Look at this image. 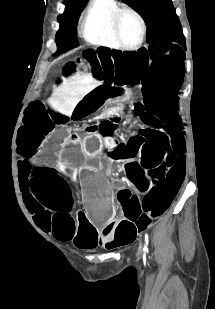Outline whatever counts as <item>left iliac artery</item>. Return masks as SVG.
I'll use <instances>...</instances> for the list:
<instances>
[{
  "label": "left iliac artery",
  "mask_w": 215,
  "mask_h": 309,
  "mask_svg": "<svg viewBox=\"0 0 215 309\" xmlns=\"http://www.w3.org/2000/svg\"><path fill=\"white\" fill-rule=\"evenodd\" d=\"M148 242H149V237H148V234L145 233V245H144V248H143V251L145 253H148Z\"/></svg>",
  "instance_id": "obj_1"
}]
</instances>
